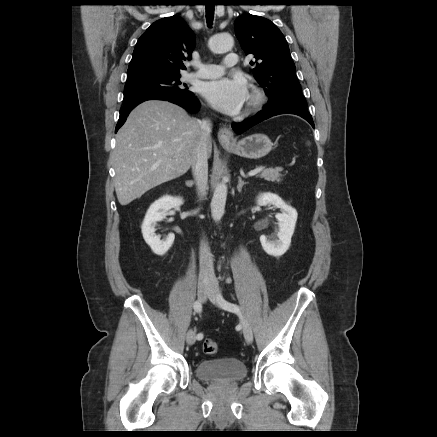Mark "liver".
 Masks as SVG:
<instances>
[{"instance_id": "1", "label": "liver", "mask_w": 437, "mask_h": 437, "mask_svg": "<svg viewBox=\"0 0 437 437\" xmlns=\"http://www.w3.org/2000/svg\"><path fill=\"white\" fill-rule=\"evenodd\" d=\"M199 120L159 100L135 107L116 135L114 186L125 206L150 189L184 175L196 158ZM212 142L208 144V157Z\"/></svg>"}]
</instances>
